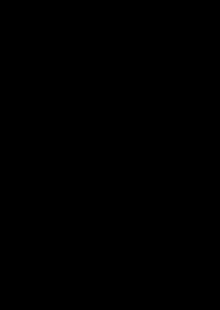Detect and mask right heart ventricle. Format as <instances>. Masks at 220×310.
I'll use <instances>...</instances> for the list:
<instances>
[{"instance_id": "right-heart-ventricle-1", "label": "right heart ventricle", "mask_w": 220, "mask_h": 310, "mask_svg": "<svg viewBox=\"0 0 220 310\" xmlns=\"http://www.w3.org/2000/svg\"><path fill=\"white\" fill-rule=\"evenodd\" d=\"M148 127H153L152 125L150 126H148ZM120 146H121V148H122V139H121V141L119 140H117V142H116V144H115V147H117V150H118V148H119V150H120Z\"/></svg>"}]
</instances>
